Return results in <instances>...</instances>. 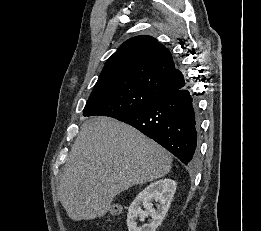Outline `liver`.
<instances>
[{"mask_svg":"<svg viewBox=\"0 0 261 231\" xmlns=\"http://www.w3.org/2000/svg\"><path fill=\"white\" fill-rule=\"evenodd\" d=\"M171 155L132 126L109 117L83 123L63 169L60 202L74 221L104 216L114 197L169 173Z\"/></svg>","mask_w":261,"mask_h":231,"instance_id":"6515ba94","label":"liver"}]
</instances>
